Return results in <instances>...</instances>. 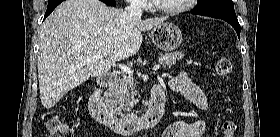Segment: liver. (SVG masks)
Instances as JSON below:
<instances>
[{"label":"liver","mask_w":280,"mask_h":137,"mask_svg":"<svg viewBox=\"0 0 280 137\" xmlns=\"http://www.w3.org/2000/svg\"><path fill=\"white\" fill-rule=\"evenodd\" d=\"M165 20H141L99 0L61 3L40 31L37 69L42 105L52 108L68 91L136 54L142 44V31ZM99 52L105 56L96 58Z\"/></svg>","instance_id":"6515ba94"}]
</instances>
